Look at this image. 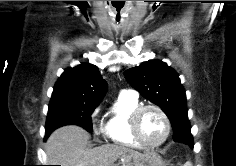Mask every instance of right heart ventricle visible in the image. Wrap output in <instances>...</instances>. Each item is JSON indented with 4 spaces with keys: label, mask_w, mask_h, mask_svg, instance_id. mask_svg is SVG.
Masks as SVG:
<instances>
[{
    "label": "right heart ventricle",
    "mask_w": 236,
    "mask_h": 166,
    "mask_svg": "<svg viewBox=\"0 0 236 166\" xmlns=\"http://www.w3.org/2000/svg\"><path fill=\"white\" fill-rule=\"evenodd\" d=\"M140 106L137 97L119 95L109 110L105 126L108 139L115 145L140 149L142 146L133 138L130 130L131 114Z\"/></svg>",
    "instance_id": "1"
}]
</instances>
